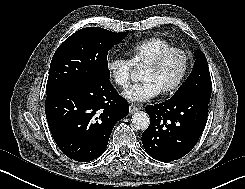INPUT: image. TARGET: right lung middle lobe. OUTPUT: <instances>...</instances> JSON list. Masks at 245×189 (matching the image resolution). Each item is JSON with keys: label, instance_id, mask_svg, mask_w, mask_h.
Listing matches in <instances>:
<instances>
[{"label": "right lung middle lobe", "instance_id": "dd1d6c3e", "mask_svg": "<svg viewBox=\"0 0 245 189\" xmlns=\"http://www.w3.org/2000/svg\"><path fill=\"white\" fill-rule=\"evenodd\" d=\"M127 34L87 27L68 37L52 58L46 95L79 88L98 78H110L108 51Z\"/></svg>", "mask_w": 245, "mask_h": 189}]
</instances>
